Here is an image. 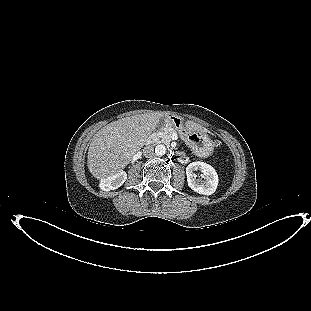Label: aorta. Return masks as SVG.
Masks as SVG:
<instances>
[{
  "label": "aorta",
  "mask_w": 311,
  "mask_h": 311,
  "mask_svg": "<svg viewBox=\"0 0 311 311\" xmlns=\"http://www.w3.org/2000/svg\"><path fill=\"white\" fill-rule=\"evenodd\" d=\"M165 153H166V147H165V145L160 144V145H157V146L155 147V154H156L157 156H163V155H165Z\"/></svg>",
  "instance_id": "obj_1"
}]
</instances>
